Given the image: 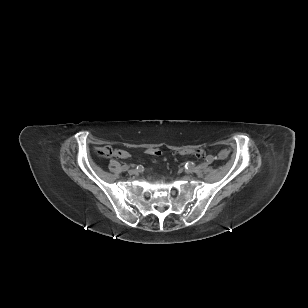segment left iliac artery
Instances as JSON below:
<instances>
[{
	"mask_svg": "<svg viewBox=\"0 0 308 308\" xmlns=\"http://www.w3.org/2000/svg\"><path fill=\"white\" fill-rule=\"evenodd\" d=\"M206 160H207L208 163H213V162H214V157L211 156V155H208V156L206 157Z\"/></svg>",
	"mask_w": 308,
	"mask_h": 308,
	"instance_id": "obj_1",
	"label": "left iliac artery"
}]
</instances>
